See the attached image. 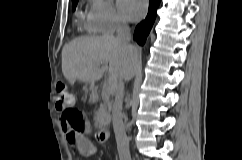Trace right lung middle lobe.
Returning a JSON list of instances; mask_svg holds the SVG:
<instances>
[{
	"instance_id": "dd1d6c3e",
	"label": "right lung middle lobe",
	"mask_w": 242,
	"mask_h": 160,
	"mask_svg": "<svg viewBox=\"0 0 242 160\" xmlns=\"http://www.w3.org/2000/svg\"><path fill=\"white\" fill-rule=\"evenodd\" d=\"M77 2H78V0H73V1H72L73 9H75V7H76V5H77Z\"/></svg>"
}]
</instances>
